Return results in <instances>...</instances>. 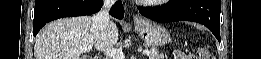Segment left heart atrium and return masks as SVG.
Listing matches in <instances>:
<instances>
[{"label":"left heart atrium","instance_id":"39dd6f15","mask_svg":"<svg viewBox=\"0 0 261 59\" xmlns=\"http://www.w3.org/2000/svg\"><path fill=\"white\" fill-rule=\"evenodd\" d=\"M138 2H141V3H155V2H159V1H156V0H138Z\"/></svg>","mask_w":261,"mask_h":59}]
</instances>
